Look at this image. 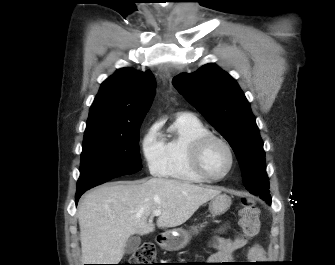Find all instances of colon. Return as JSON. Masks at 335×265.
<instances>
[{"label":"colon","mask_w":335,"mask_h":265,"mask_svg":"<svg viewBox=\"0 0 335 265\" xmlns=\"http://www.w3.org/2000/svg\"><path fill=\"white\" fill-rule=\"evenodd\" d=\"M239 224L246 238L256 236L260 230V211L250 199L242 201L239 211ZM155 259L156 250L154 245L144 243L132 254L128 264L124 265H154Z\"/></svg>","instance_id":"colon-1"}]
</instances>
